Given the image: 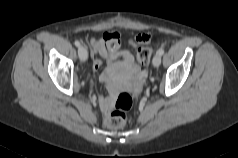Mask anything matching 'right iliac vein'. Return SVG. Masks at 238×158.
Instances as JSON below:
<instances>
[{
  "instance_id": "obj_1",
  "label": "right iliac vein",
  "mask_w": 238,
  "mask_h": 158,
  "mask_svg": "<svg viewBox=\"0 0 238 158\" xmlns=\"http://www.w3.org/2000/svg\"><path fill=\"white\" fill-rule=\"evenodd\" d=\"M78 56L81 61L85 62L88 58V52L85 46H80L78 48Z\"/></svg>"
}]
</instances>
